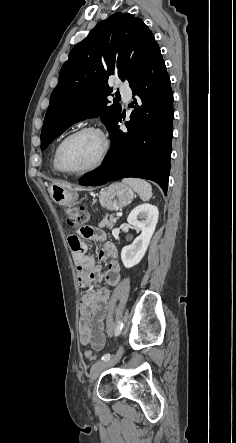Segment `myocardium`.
Returning a JSON list of instances; mask_svg holds the SVG:
<instances>
[{
	"mask_svg": "<svg viewBox=\"0 0 236 443\" xmlns=\"http://www.w3.org/2000/svg\"><path fill=\"white\" fill-rule=\"evenodd\" d=\"M86 132H91V133L96 134L101 140V145H102L101 152H100V155H99L97 161L92 166H90L86 169H83V170L73 171V170L66 169L62 163V157H61L64 145L73 137H75L79 134H82V133H86ZM109 149H110V143H109L108 137L105 134V132L100 127H97L94 125H85V126L79 127L76 130L72 131L71 133H69L67 136H65L62 139V141L59 143V145L56 149V163H57L58 169L65 174L77 175V176L89 174V173H92V172L98 170L102 166V164L104 163V161L107 157Z\"/></svg>",
	"mask_w": 236,
	"mask_h": 443,
	"instance_id": "myocardium-1",
	"label": "myocardium"
}]
</instances>
